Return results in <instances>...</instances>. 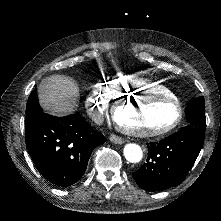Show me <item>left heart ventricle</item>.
<instances>
[{"mask_svg": "<svg viewBox=\"0 0 221 221\" xmlns=\"http://www.w3.org/2000/svg\"><path fill=\"white\" fill-rule=\"evenodd\" d=\"M117 123L127 125L133 129H141L148 127H162L170 125L176 119V108L170 102L150 103L141 105H127L117 108L113 114Z\"/></svg>", "mask_w": 221, "mask_h": 221, "instance_id": "left-heart-ventricle-1", "label": "left heart ventricle"}]
</instances>
